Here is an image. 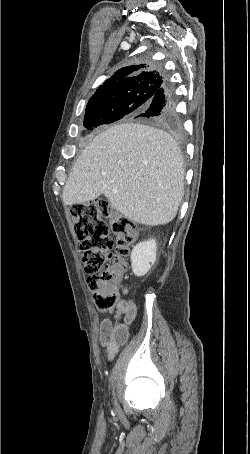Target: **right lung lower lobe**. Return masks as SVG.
Wrapping results in <instances>:
<instances>
[{"instance_id":"right-lung-lower-lobe-1","label":"right lung lower lobe","mask_w":250,"mask_h":454,"mask_svg":"<svg viewBox=\"0 0 250 454\" xmlns=\"http://www.w3.org/2000/svg\"><path fill=\"white\" fill-rule=\"evenodd\" d=\"M143 117H153L163 125L175 126L177 124L176 97L174 89L168 81L154 95L149 107L142 113Z\"/></svg>"}]
</instances>
